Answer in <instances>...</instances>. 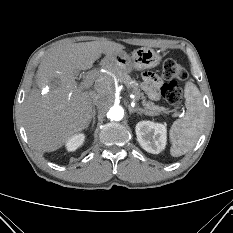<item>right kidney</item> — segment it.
<instances>
[{
  "label": "right kidney",
  "mask_w": 233,
  "mask_h": 233,
  "mask_svg": "<svg viewBox=\"0 0 233 233\" xmlns=\"http://www.w3.org/2000/svg\"><path fill=\"white\" fill-rule=\"evenodd\" d=\"M85 140V135L84 134H76L72 137H70L66 143L65 146L69 152L75 151L77 148H79Z\"/></svg>",
  "instance_id": "1"
}]
</instances>
